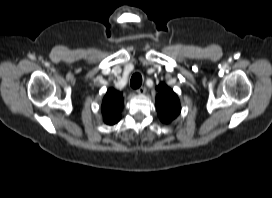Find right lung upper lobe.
<instances>
[{
    "label": "right lung upper lobe",
    "instance_id": "obj_1",
    "mask_svg": "<svg viewBox=\"0 0 272 198\" xmlns=\"http://www.w3.org/2000/svg\"><path fill=\"white\" fill-rule=\"evenodd\" d=\"M123 108L122 93L110 89L107 91L102 102V113L104 122L108 125L117 123L120 118V112Z\"/></svg>",
    "mask_w": 272,
    "mask_h": 198
}]
</instances>
